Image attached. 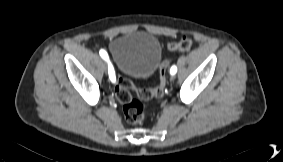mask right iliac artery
Masks as SVG:
<instances>
[{"label":"right iliac artery","instance_id":"obj_1","mask_svg":"<svg viewBox=\"0 0 283 162\" xmlns=\"http://www.w3.org/2000/svg\"><path fill=\"white\" fill-rule=\"evenodd\" d=\"M99 54L104 60L109 62V57H108V54L105 50L101 49ZM109 77H110L112 82L115 81V72H114V69H113V67L110 63H109Z\"/></svg>","mask_w":283,"mask_h":162}]
</instances>
